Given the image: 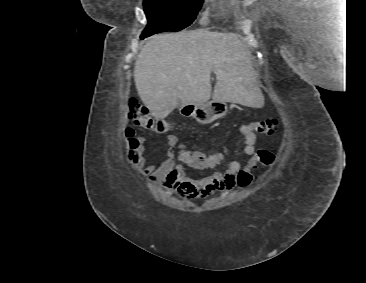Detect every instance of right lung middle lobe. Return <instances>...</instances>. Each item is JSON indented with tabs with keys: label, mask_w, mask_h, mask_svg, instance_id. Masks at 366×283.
<instances>
[{
	"label": "right lung middle lobe",
	"mask_w": 366,
	"mask_h": 283,
	"mask_svg": "<svg viewBox=\"0 0 366 283\" xmlns=\"http://www.w3.org/2000/svg\"><path fill=\"white\" fill-rule=\"evenodd\" d=\"M203 0H144L148 25L141 39L164 31H180L189 26Z\"/></svg>",
	"instance_id": "right-lung-middle-lobe-1"
}]
</instances>
